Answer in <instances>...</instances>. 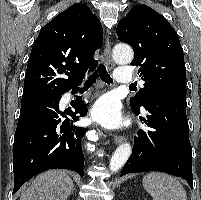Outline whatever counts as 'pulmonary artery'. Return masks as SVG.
Returning a JSON list of instances; mask_svg holds the SVG:
<instances>
[{
	"label": "pulmonary artery",
	"instance_id": "e3ab8cb5",
	"mask_svg": "<svg viewBox=\"0 0 201 200\" xmlns=\"http://www.w3.org/2000/svg\"><path fill=\"white\" fill-rule=\"evenodd\" d=\"M115 80L120 84H128L134 81V76L129 67L120 66L115 73Z\"/></svg>",
	"mask_w": 201,
	"mask_h": 200
}]
</instances>
